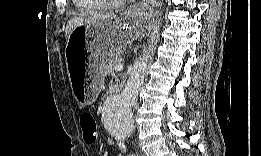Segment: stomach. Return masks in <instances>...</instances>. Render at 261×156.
<instances>
[{"mask_svg": "<svg viewBox=\"0 0 261 156\" xmlns=\"http://www.w3.org/2000/svg\"><path fill=\"white\" fill-rule=\"evenodd\" d=\"M151 15L146 5L138 4L113 22L83 25L71 32L65 55L72 91L80 105L96 100L103 82L100 68L104 61L110 53L139 37ZM82 53L88 54V62L85 68H77L75 61Z\"/></svg>", "mask_w": 261, "mask_h": 156, "instance_id": "1", "label": "stomach"}]
</instances>
